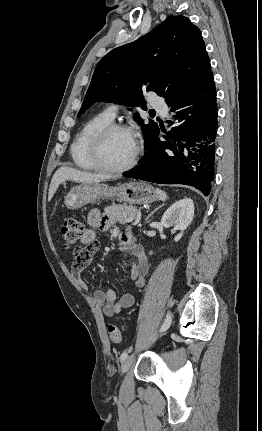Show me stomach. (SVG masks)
<instances>
[{"label":"stomach","mask_w":262,"mask_h":431,"mask_svg":"<svg viewBox=\"0 0 262 431\" xmlns=\"http://www.w3.org/2000/svg\"><path fill=\"white\" fill-rule=\"evenodd\" d=\"M116 198L130 205L145 204L157 199L156 191L144 182H127L117 186L83 183L73 187L65 196V206L74 210L100 199Z\"/></svg>","instance_id":"1"}]
</instances>
